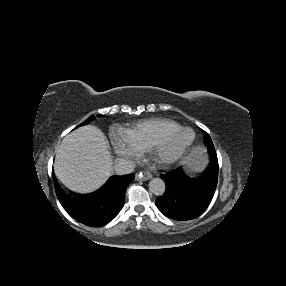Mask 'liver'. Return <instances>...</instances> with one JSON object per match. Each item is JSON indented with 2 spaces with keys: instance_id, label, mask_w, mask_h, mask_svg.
Returning a JSON list of instances; mask_svg holds the SVG:
<instances>
[{
  "instance_id": "1",
  "label": "liver",
  "mask_w": 286,
  "mask_h": 286,
  "mask_svg": "<svg viewBox=\"0 0 286 286\" xmlns=\"http://www.w3.org/2000/svg\"><path fill=\"white\" fill-rule=\"evenodd\" d=\"M112 156L103 132L91 125L80 127L62 140L54 162L57 178L68 189L88 193L112 175Z\"/></svg>"
}]
</instances>
